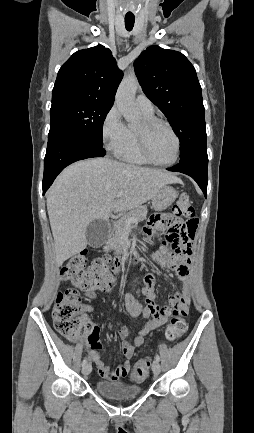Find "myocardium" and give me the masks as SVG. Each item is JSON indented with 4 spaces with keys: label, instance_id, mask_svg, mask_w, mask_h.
Segmentation results:
<instances>
[{
    "label": "myocardium",
    "instance_id": "1",
    "mask_svg": "<svg viewBox=\"0 0 254 433\" xmlns=\"http://www.w3.org/2000/svg\"><path fill=\"white\" fill-rule=\"evenodd\" d=\"M157 126H164L165 128H167L176 141V153H175L174 158L170 162L164 163V162L157 161L156 159H154V157L152 156V154L149 150L148 133L150 130H152L153 128H155ZM136 136H137L139 150H140L142 156L145 158V160L148 163L156 165V166H161V167H169V166L174 165L178 161V159L180 157V153H181V141H180V138H179L178 134L176 133V131L173 129V127L168 122H166L162 119H159V118H154V117L153 118H145L143 121V128L136 130Z\"/></svg>",
    "mask_w": 254,
    "mask_h": 433
}]
</instances>
